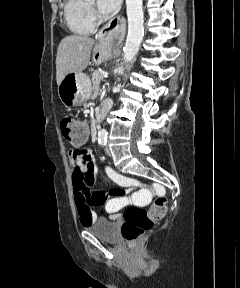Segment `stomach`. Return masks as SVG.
Here are the masks:
<instances>
[{"instance_id":"1","label":"stomach","mask_w":240,"mask_h":288,"mask_svg":"<svg viewBox=\"0 0 240 288\" xmlns=\"http://www.w3.org/2000/svg\"><path fill=\"white\" fill-rule=\"evenodd\" d=\"M112 56L111 47L100 42L92 51L91 63L99 65ZM91 81L84 73L67 74L58 86V95L65 107H76L87 101L91 96Z\"/></svg>"}]
</instances>
